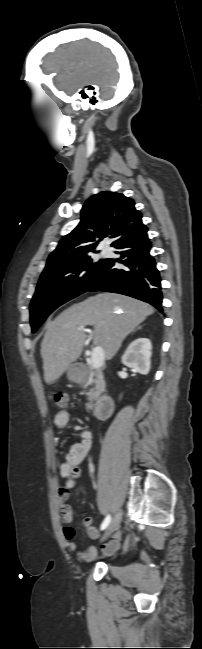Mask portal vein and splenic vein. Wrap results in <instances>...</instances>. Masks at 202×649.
<instances>
[{"mask_svg":"<svg viewBox=\"0 0 202 649\" xmlns=\"http://www.w3.org/2000/svg\"><path fill=\"white\" fill-rule=\"evenodd\" d=\"M79 329H82L81 327ZM104 351L101 346H96L91 354V365L94 369H99L104 363Z\"/></svg>","mask_w":202,"mask_h":649,"instance_id":"portal-vein-and-splenic-vein-1","label":"portal vein and splenic vein"}]
</instances>
